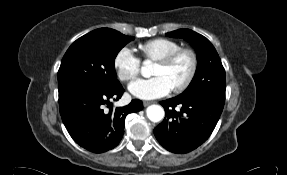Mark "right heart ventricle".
<instances>
[{
  "instance_id": "e07e8e85",
  "label": "right heart ventricle",
  "mask_w": 287,
  "mask_h": 175,
  "mask_svg": "<svg viewBox=\"0 0 287 175\" xmlns=\"http://www.w3.org/2000/svg\"><path fill=\"white\" fill-rule=\"evenodd\" d=\"M181 44L173 39L155 38L139 44L138 48L147 60L156 61L159 58L181 48Z\"/></svg>"
}]
</instances>
